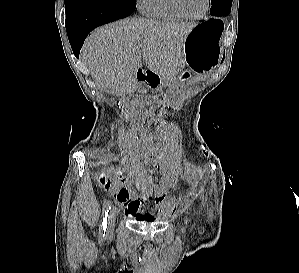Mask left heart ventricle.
Here are the masks:
<instances>
[{
    "label": "left heart ventricle",
    "mask_w": 299,
    "mask_h": 273,
    "mask_svg": "<svg viewBox=\"0 0 299 273\" xmlns=\"http://www.w3.org/2000/svg\"><path fill=\"white\" fill-rule=\"evenodd\" d=\"M181 3L185 11L192 16L200 15L206 5L205 0H181Z\"/></svg>",
    "instance_id": "left-heart-ventricle-1"
}]
</instances>
